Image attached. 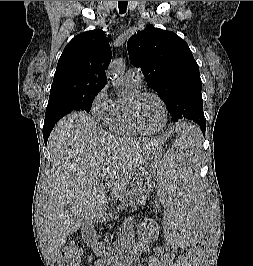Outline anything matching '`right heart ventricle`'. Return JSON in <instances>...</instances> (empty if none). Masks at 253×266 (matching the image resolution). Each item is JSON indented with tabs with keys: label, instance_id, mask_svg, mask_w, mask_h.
I'll return each mask as SVG.
<instances>
[{
	"label": "right heart ventricle",
	"instance_id": "e07e8e85",
	"mask_svg": "<svg viewBox=\"0 0 253 266\" xmlns=\"http://www.w3.org/2000/svg\"><path fill=\"white\" fill-rule=\"evenodd\" d=\"M126 89V97L114 101L107 125L112 132L118 135H138L140 133L133 127L130 120L128 102L132 95L140 91L141 85L126 83Z\"/></svg>",
	"mask_w": 253,
	"mask_h": 266
}]
</instances>
